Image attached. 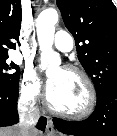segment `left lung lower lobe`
<instances>
[{"label": "left lung lower lobe", "instance_id": "obj_1", "mask_svg": "<svg viewBox=\"0 0 117 136\" xmlns=\"http://www.w3.org/2000/svg\"><path fill=\"white\" fill-rule=\"evenodd\" d=\"M62 133L75 136H117V82L97 95V105L90 117L83 121L53 119Z\"/></svg>", "mask_w": 117, "mask_h": 136}]
</instances>
